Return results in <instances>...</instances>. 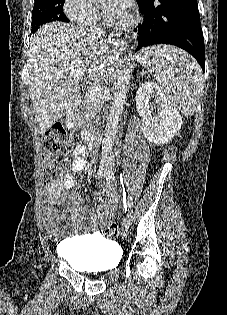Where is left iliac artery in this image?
Segmentation results:
<instances>
[{
  "label": "left iliac artery",
  "mask_w": 227,
  "mask_h": 315,
  "mask_svg": "<svg viewBox=\"0 0 227 315\" xmlns=\"http://www.w3.org/2000/svg\"><path fill=\"white\" fill-rule=\"evenodd\" d=\"M105 178L109 182L115 181V176H114V173H113V171L111 169L106 170ZM124 183H126V181L125 180L123 181V179L121 178V184H122V187H123V199H124L125 210L130 211L131 208L133 207V199H132L131 196L126 197Z\"/></svg>",
  "instance_id": "obj_1"
}]
</instances>
